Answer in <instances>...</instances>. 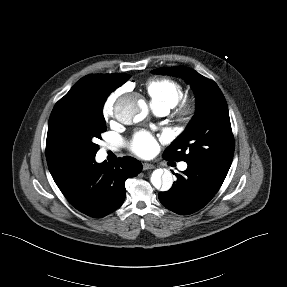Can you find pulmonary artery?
<instances>
[{
  "label": "pulmonary artery",
  "mask_w": 287,
  "mask_h": 287,
  "mask_svg": "<svg viewBox=\"0 0 287 287\" xmlns=\"http://www.w3.org/2000/svg\"><path fill=\"white\" fill-rule=\"evenodd\" d=\"M154 110L156 111L157 114L159 115H166L168 113V109L164 108V107H156L153 106ZM179 168L181 170H185L187 168V164L186 163H181Z\"/></svg>",
  "instance_id": "1"
}]
</instances>
